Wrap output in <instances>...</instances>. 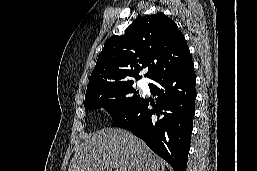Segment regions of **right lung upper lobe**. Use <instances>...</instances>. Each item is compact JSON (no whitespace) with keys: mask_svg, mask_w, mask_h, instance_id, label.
Here are the masks:
<instances>
[{"mask_svg":"<svg viewBox=\"0 0 257 171\" xmlns=\"http://www.w3.org/2000/svg\"><path fill=\"white\" fill-rule=\"evenodd\" d=\"M191 59L184 35L176 23L163 13L147 15L135 20L122 36L109 38L98 56L89 78L87 91L150 79L162 72L176 69Z\"/></svg>","mask_w":257,"mask_h":171,"instance_id":"cb5924a9","label":"right lung upper lobe"}]
</instances>
